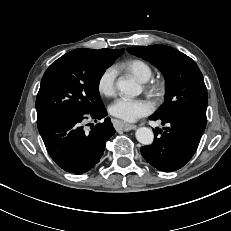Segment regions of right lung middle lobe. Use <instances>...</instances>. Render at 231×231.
Here are the masks:
<instances>
[{"label":"right lung middle lobe","instance_id":"dd1d6c3e","mask_svg":"<svg viewBox=\"0 0 231 231\" xmlns=\"http://www.w3.org/2000/svg\"><path fill=\"white\" fill-rule=\"evenodd\" d=\"M113 62L87 48L75 49L53 62L41 80L37 122L62 115L80 117L103 108L99 81Z\"/></svg>","mask_w":231,"mask_h":231}]
</instances>
